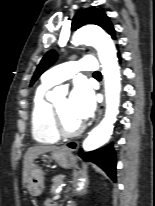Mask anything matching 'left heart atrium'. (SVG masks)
<instances>
[{"mask_svg":"<svg viewBox=\"0 0 155 206\" xmlns=\"http://www.w3.org/2000/svg\"><path fill=\"white\" fill-rule=\"evenodd\" d=\"M70 113L77 120H86L94 110V97L84 81H78L68 99Z\"/></svg>","mask_w":155,"mask_h":206,"instance_id":"left-heart-atrium-1","label":"left heart atrium"}]
</instances>
